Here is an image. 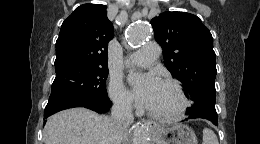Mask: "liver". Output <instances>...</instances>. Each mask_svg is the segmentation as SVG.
Here are the masks:
<instances>
[{"instance_id":"obj_1","label":"liver","mask_w":260,"mask_h":144,"mask_svg":"<svg viewBox=\"0 0 260 144\" xmlns=\"http://www.w3.org/2000/svg\"><path fill=\"white\" fill-rule=\"evenodd\" d=\"M45 144H121L124 132L114 129L112 118L85 108H72L48 118Z\"/></svg>"}]
</instances>
